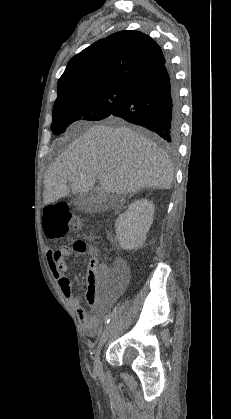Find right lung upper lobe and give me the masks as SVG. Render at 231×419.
Returning a JSON list of instances; mask_svg holds the SVG:
<instances>
[{"label": "right lung upper lobe", "instance_id": "cb5924a9", "mask_svg": "<svg viewBox=\"0 0 231 419\" xmlns=\"http://www.w3.org/2000/svg\"><path fill=\"white\" fill-rule=\"evenodd\" d=\"M159 45L138 31H121L98 40L74 57L60 77L57 99L104 87L131 86L165 63Z\"/></svg>", "mask_w": 231, "mask_h": 419}]
</instances>
